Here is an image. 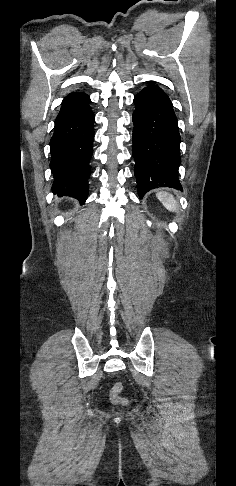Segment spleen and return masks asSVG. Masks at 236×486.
<instances>
[{
	"label": "spleen",
	"mask_w": 236,
	"mask_h": 486,
	"mask_svg": "<svg viewBox=\"0 0 236 486\" xmlns=\"http://www.w3.org/2000/svg\"><path fill=\"white\" fill-rule=\"evenodd\" d=\"M156 196L166 209L173 212L177 210V203L171 194L158 192Z\"/></svg>",
	"instance_id": "obj_1"
}]
</instances>
